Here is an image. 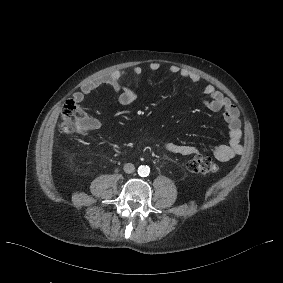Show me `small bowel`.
<instances>
[{
    "label": "small bowel",
    "mask_w": 283,
    "mask_h": 283,
    "mask_svg": "<svg viewBox=\"0 0 283 283\" xmlns=\"http://www.w3.org/2000/svg\"><path fill=\"white\" fill-rule=\"evenodd\" d=\"M160 65L152 62L149 65L151 71H157ZM169 72L173 75H178L193 83H199L200 76L188 69L181 68L177 65H172ZM142 73V68L139 66L132 67L127 70H117L110 73L97 76L86 82L81 89L73 96L76 103H81L89 94L101 85H109L116 92L118 102L122 106H130L137 98L136 93L127 85L123 84V78L128 75L139 76ZM204 105L214 112H222L223 119L226 122L229 130V141L227 144H222L213 149L214 157L222 162L229 161L234 157L243 153L241 144V122L240 113L237 106L226 97L221 91L217 90L212 84H207L203 87ZM98 123L93 122L92 128H97ZM163 147L166 151L184 156L196 155L199 153L197 147L187 144H177L170 141H165Z\"/></svg>",
    "instance_id": "small-bowel-1"
}]
</instances>
